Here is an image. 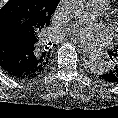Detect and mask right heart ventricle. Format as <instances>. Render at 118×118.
Instances as JSON below:
<instances>
[{
	"label": "right heart ventricle",
	"instance_id": "right-heart-ventricle-1",
	"mask_svg": "<svg viewBox=\"0 0 118 118\" xmlns=\"http://www.w3.org/2000/svg\"><path fill=\"white\" fill-rule=\"evenodd\" d=\"M100 1H102V2L105 4V7H106V8L108 7V5H109V0H100Z\"/></svg>",
	"mask_w": 118,
	"mask_h": 118
}]
</instances>
